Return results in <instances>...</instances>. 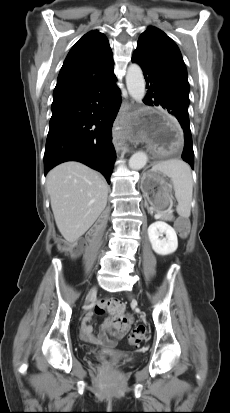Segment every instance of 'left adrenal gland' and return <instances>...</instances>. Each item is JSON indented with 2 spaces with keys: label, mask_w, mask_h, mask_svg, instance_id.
<instances>
[{
  "label": "left adrenal gland",
  "mask_w": 230,
  "mask_h": 413,
  "mask_svg": "<svg viewBox=\"0 0 230 413\" xmlns=\"http://www.w3.org/2000/svg\"><path fill=\"white\" fill-rule=\"evenodd\" d=\"M145 206L147 207V209H148V212H149L150 214H152V211H150V210H149V207H148V205H147V204H145Z\"/></svg>",
  "instance_id": "a2214340"
}]
</instances>
